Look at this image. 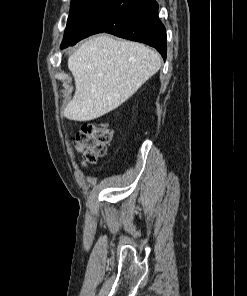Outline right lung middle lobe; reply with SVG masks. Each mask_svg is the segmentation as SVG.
Listing matches in <instances>:
<instances>
[{
	"mask_svg": "<svg viewBox=\"0 0 247 296\" xmlns=\"http://www.w3.org/2000/svg\"><path fill=\"white\" fill-rule=\"evenodd\" d=\"M109 0H72L61 48L75 45L85 37L89 21Z\"/></svg>",
	"mask_w": 247,
	"mask_h": 296,
	"instance_id": "dd1d6c3e",
	"label": "right lung middle lobe"
}]
</instances>
